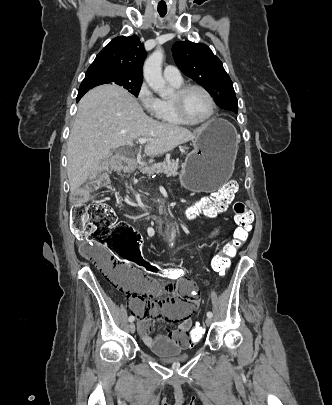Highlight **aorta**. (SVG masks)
<instances>
[{"label":"aorta","instance_id":"762f6f07","mask_svg":"<svg viewBox=\"0 0 332 405\" xmlns=\"http://www.w3.org/2000/svg\"><path fill=\"white\" fill-rule=\"evenodd\" d=\"M164 54L163 50L157 48L145 61L143 66V74L146 82L152 90L157 92L160 96L167 93V86L164 78L162 77V62ZM176 231L172 230L169 242L173 245Z\"/></svg>","mask_w":332,"mask_h":405}]
</instances>
